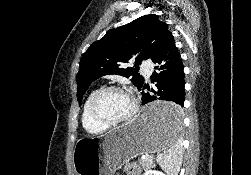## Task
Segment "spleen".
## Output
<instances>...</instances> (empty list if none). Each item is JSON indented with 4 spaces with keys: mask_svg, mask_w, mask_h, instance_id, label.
<instances>
[{
    "mask_svg": "<svg viewBox=\"0 0 251 175\" xmlns=\"http://www.w3.org/2000/svg\"><path fill=\"white\" fill-rule=\"evenodd\" d=\"M181 113V107H173L169 115L164 119L165 133L170 145L167 153L158 155L157 161L162 169H165L167 175H178L183 161V149L179 137Z\"/></svg>",
    "mask_w": 251,
    "mask_h": 175,
    "instance_id": "obj_1",
    "label": "spleen"
}]
</instances>
